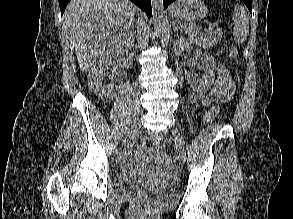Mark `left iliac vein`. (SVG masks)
Listing matches in <instances>:
<instances>
[{"instance_id": "left-iliac-vein-1", "label": "left iliac vein", "mask_w": 293, "mask_h": 219, "mask_svg": "<svg viewBox=\"0 0 293 219\" xmlns=\"http://www.w3.org/2000/svg\"><path fill=\"white\" fill-rule=\"evenodd\" d=\"M173 134L175 137V146H176V150L178 152V157H179L180 161L182 163H184L186 160V152H185V148H184L182 133H181V130L178 126H176L173 129Z\"/></svg>"}]
</instances>
